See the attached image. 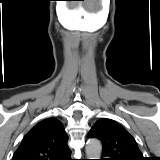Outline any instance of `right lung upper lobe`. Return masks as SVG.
<instances>
[{
    "instance_id": "right-lung-upper-lobe-1",
    "label": "right lung upper lobe",
    "mask_w": 160,
    "mask_h": 160,
    "mask_svg": "<svg viewBox=\"0 0 160 160\" xmlns=\"http://www.w3.org/2000/svg\"><path fill=\"white\" fill-rule=\"evenodd\" d=\"M68 136L62 123L47 118L36 124L23 138L13 160H68Z\"/></svg>"
}]
</instances>
